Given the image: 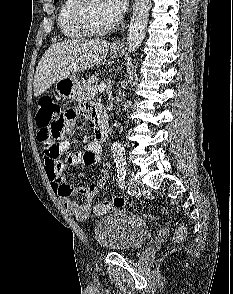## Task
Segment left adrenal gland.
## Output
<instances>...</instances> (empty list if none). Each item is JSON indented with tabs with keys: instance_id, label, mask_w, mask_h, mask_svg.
Instances as JSON below:
<instances>
[{
	"instance_id": "1",
	"label": "left adrenal gland",
	"mask_w": 233,
	"mask_h": 294,
	"mask_svg": "<svg viewBox=\"0 0 233 294\" xmlns=\"http://www.w3.org/2000/svg\"><path fill=\"white\" fill-rule=\"evenodd\" d=\"M111 83H112L111 79H108L106 91H107L109 99H112V85H111Z\"/></svg>"
}]
</instances>
